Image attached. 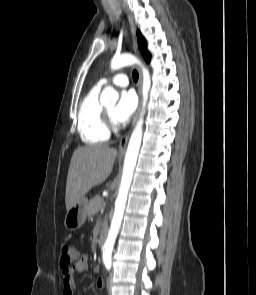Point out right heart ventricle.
Returning a JSON list of instances; mask_svg holds the SVG:
<instances>
[{"instance_id": "1", "label": "right heart ventricle", "mask_w": 256, "mask_h": 295, "mask_svg": "<svg viewBox=\"0 0 256 295\" xmlns=\"http://www.w3.org/2000/svg\"><path fill=\"white\" fill-rule=\"evenodd\" d=\"M100 86H94L83 98L78 111V132L83 142L98 144L109 139L103 119L104 107L99 101Z\"/></svg>"}]
</instances>
